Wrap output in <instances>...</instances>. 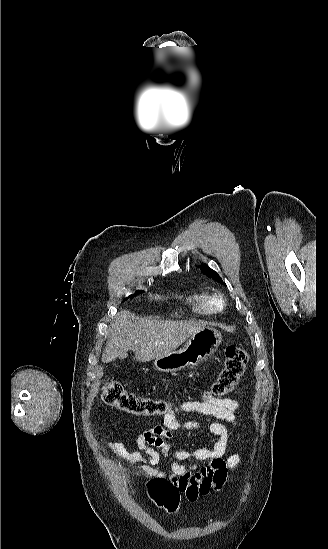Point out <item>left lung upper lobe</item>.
<instances>
[{
    "instance_id": "5c2ea615",
    "label": "left lung upper lobe",
    "mask_w": 328,
    "mask_h": 549,
    "mask_svg": "<svg viewBox=\"0 0 328 549\" xmlns=\"http://www.w3.org/2000/svg\"><path fill=\"white\" fill-rule=\"evenodd\" d=\"M201 269L204 271V273H206L209 277L215 279L216 281L218 282H221V283H224L222 281V279L220 278V276L214 271L212 270L211 268H209L208 266H202Z\"/></svg>"
}]
</instances>
